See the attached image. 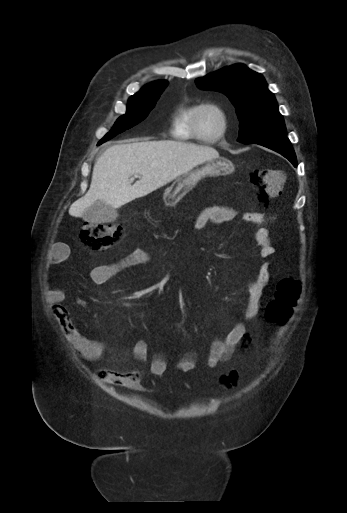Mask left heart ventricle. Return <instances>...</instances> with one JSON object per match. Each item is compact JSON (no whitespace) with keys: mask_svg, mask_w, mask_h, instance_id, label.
<instances>
[{"mask_svg":"<svg viewBox=\"0 0 347 513\" xmlns=\"http://www.w3.org/2000/svg\"><path fill=\"white\" fill-rule=\"evenodd\" d=\"M199 129L203 137L216 135L221 129V118L214 110H205L199 116Z\"/></svg>","mask_w":347,"mask_h":513,"instance_id":"obj_1","label":"left heart ventricle"}]
</instances>
